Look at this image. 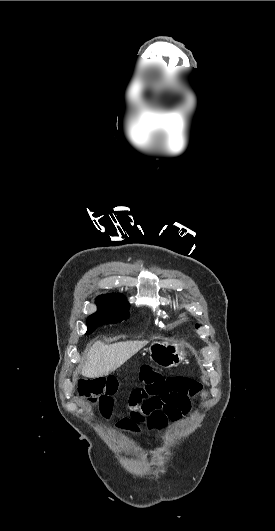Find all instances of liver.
Listing matches in <instances>:
<instances>
[{"label": "liver", "mask_w": 275, "mask_h": 531, "mask_svg": "<svg viewBox=\"0 0 275 531\" xmlns=\"http://www.w3.org/2000/svg\"><path fill=\"white\" fill-rule=\"evenodd\" d=\"M148 341H126L104 345L101 341L94 343L86 353L85 365L81 367L83 377H106L118 367L124 365L135 353L147 345Z\"/></svg>", "instance_id": "liver-1"}]
</instances>
